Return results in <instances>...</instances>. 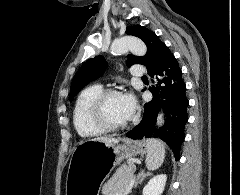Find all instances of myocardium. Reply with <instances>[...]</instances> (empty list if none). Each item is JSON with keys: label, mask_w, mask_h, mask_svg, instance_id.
<instances>
[{"label": "myocardium", "mask_w": 240, "mask_h": 195, "mask_svg": "<svg viewBox=\"0 0 240 195\" xmlns=\"http://www.w3.org/2000/svg\"><path fill=\"white\" fill-rule=\"evenodd\" d=\"M122 94L117 90H106L101 92L93 101L91 106V118L101 129L107 132H120L131 127L130 123L114 124L107 115L108 101L113 97H120Z\"/></svg>", "instance_id": "1"}]
</instances>
